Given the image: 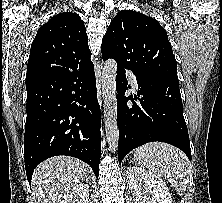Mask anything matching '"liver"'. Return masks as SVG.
I'll return each instance as SVG.
<instances>
[{
  "instance_id": "liver-1",
  "label": "liver",
  "mask_w": 222,
  "mask_h": 203,
  "mask_svg": "<svg viewBox=\"0 0 222 203\" xmlns=\"http://www.w3.org/2000/svg\"><path fill=\"white\" fill-rule=\"evenodd\" d=\"M86 177V164L76 158L55 156L43 161L32 176L36 203H58L65 193Z\"/></svg>"
}]
</instances>
